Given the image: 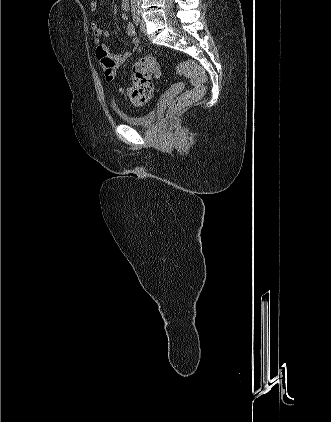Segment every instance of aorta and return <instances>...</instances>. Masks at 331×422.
<instances>
[{"instance_id": "obj_1", "label": "aorta", "mask_w": 331, "mask_h": 422, "mask_svg": "<svg viewBox=\"0 0 331 422\" xmlns=\"http://www.w3.org/2000/svg\"><path fill=\"white\" fill-rule=\"evenodd\" d=\"M140 1L141 0H131V10L132 11H137L139 9Z\"/></svg>"}]
</instances>
